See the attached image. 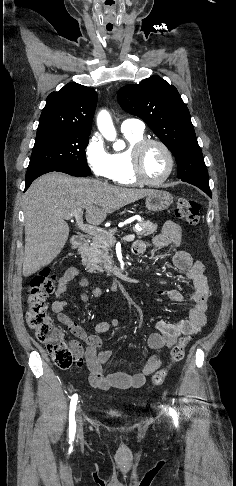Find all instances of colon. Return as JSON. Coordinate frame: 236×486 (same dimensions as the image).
<instances>
[{
  "mask_svg": "<svg viewBox=\"0 0 236 486\" xmlns=\"http://www.w3.org/2000/svg\"><path fill=\"white\" fill-rule=\"evenodd\" d=\"M175 215L189 225L196 226L200 222V206L194 200L181 198L177 202ZM54 283L55 275L49 268H43L32 277L26 299V319L37 339L46 345L53 362L65 369L73 363V350L66 342L62 331L53 325L46 303L48 296L54 291ZM191 338L192 334L185 335L172 347L170 362L154 374L153 385H161L171 366L183 359Z\"/></svg>",
  "mask_w": 236,
  "mask_h": 486,
  "instance_id": "obj_1",
  "label": "colon"
}]
</instances>
